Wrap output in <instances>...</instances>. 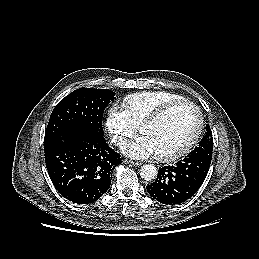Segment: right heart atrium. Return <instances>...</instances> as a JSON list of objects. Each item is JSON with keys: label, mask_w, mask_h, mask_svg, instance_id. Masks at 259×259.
<instances>
[{"label": "right heart atrium", "mask_w": 259, "mask_h": 259, "mask_svg": "<svg viewBox=\"0 0 259 259\" xmlns=\"http://www.w3.org/2000/svg\"><path fill=\"white\" fill-rule=\"evenodd\" d=\"M106 128L117 146H122L136 131V125L125 106L114 103L110 106L105 120Z\"/></svg>", "instance_id": "d8ad5b80"}]
</instances>
